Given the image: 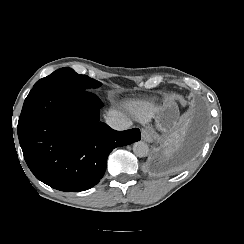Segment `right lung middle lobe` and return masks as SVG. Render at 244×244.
Segmentation results:
<instances>
[{
	"mask_svg": "<svg viewBox=\"0 0 244 244\" xmlns=\"http://www.w3.org/2000/svg\"><path fill=\"white\" fill-rule=\"evenodd\" d=\"M101 83L87 75L77 74L71 68H61L54 71L51 75L37 81L33 89L44 86H69L82 90L98 88Z\"/></svg>",
	"mask_w": 244,
	"mask_h": 244,
	"instance_id": "1",
	"label": "right lung middle lobe"
}]
</instances>
